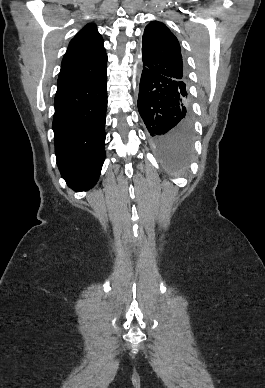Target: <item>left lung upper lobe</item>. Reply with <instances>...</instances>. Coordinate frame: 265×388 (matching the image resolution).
Returning a JSON list of instances; mask_svg holds the SVG:
<instances>
[{"label":"left lung upper lobe","instance_id":"5c2ea615","mask_svg":"<svg viewBox=\"0 0 265 388\" xmlns=\"http://www.w3.org/2000/svg\"><path fill=\"white\" fill-rule=\"evenodd\" d=\"M143 67L169 77L183 86L184 101L189 103L187 74L177 38L165 24L152 21L142 38Z\"/></svg>","mask_w":265,"mask_h":388}]
</instances>
